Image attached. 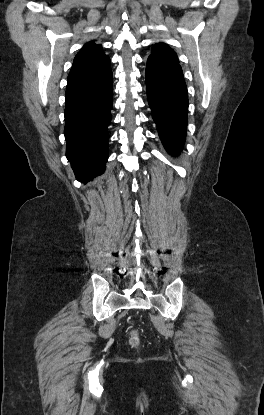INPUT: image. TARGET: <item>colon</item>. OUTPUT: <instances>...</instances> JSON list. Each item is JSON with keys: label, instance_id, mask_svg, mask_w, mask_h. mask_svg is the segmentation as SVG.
Returning a JSON list of instances; mask_svg holds the SVG:
<instances>
[{"label": "colon", "instance_id": "obj_1", "mask_svg": "<svg viewBox=\"0 0 264 415\" xmlns=\"http://www.w3.org/2000/svg\"><path fill=\"white\" fill-rule=\"evenodd\" d=\"M139 343V338L138 335L136 333H132L131 337H130V344L132 346H137Z\"/></svg>", "mask_w": 264, "mask_h": 415}]
</instances>
